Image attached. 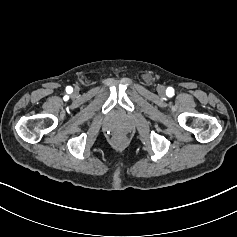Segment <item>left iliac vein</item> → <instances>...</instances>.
Returning a JSON list of instances; mask_svg holds the SVG:
<instances>
[{"label": "left iliac vein", "mask_w": 237, "mask_h": 237, "mask_svg": "<svg viewBox=\"0 0 237 237\" xmlns=\"http://www.w3.org/2000/svg\"><path fill=\"white\" fill-rule=\"evenodd\" d=\"M158 92L164 93L165 92V87L163 85H159L157 88Z\"/></svg>", "instance_id": "1"}]
</instances>
